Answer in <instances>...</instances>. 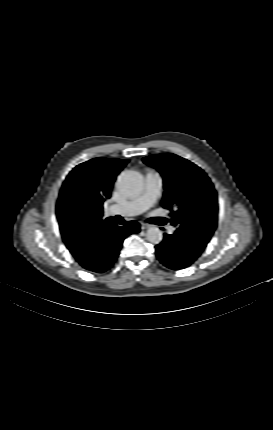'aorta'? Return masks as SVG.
Returning a JSON list of instances; mask_svg holds the SVG:
<instances>
[{"mask_svg":"<svg viewBox=\"0 0 273 430\" xmlns=\"http://www.w3.org/2000/svg\"><path fill=\"white\" fill-rule=\"evenodd\" d=\"M117 187L128 196L139 194L143 188V175L136 170H125L117 179ZM146 239L152 244H159L163 239L162 231L158 227H150Z\"/></svg>","mask_w":273,"mask_h":430,"instance_id":"762f6f07","label":"aorta"}]
</instances>
